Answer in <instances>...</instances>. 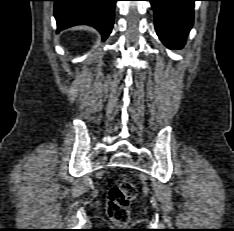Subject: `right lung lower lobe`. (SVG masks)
I'll return each mask as SVG.
<instances>
[{
    "mask_svg": "<svg viewBox=\"0 0 234 231\" xmlns=\"http://www.w3.org/2000/svg\"><path fill=\"white\" fill-rule=\"evenodd\" d=\"M57 31L75 25L95 27L106 39L114 23V7L117 0H53Z\"/></svg>",
    "mask_w": 234,
    "mask_h": 231,
    "instance_id": "98d812e1",
    "label": "right lung lower lobe"
}]
</instances>
